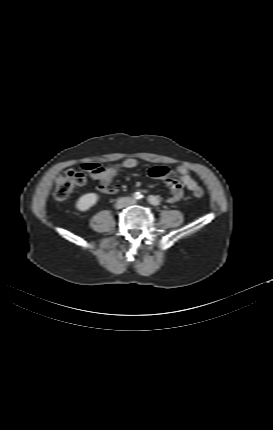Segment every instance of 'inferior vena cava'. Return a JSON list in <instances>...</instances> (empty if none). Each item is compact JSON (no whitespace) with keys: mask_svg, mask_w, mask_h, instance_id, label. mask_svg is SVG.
I'll return each mask as SVG.
<instances>
[{"mask_svg":"<svg viewBox=\"0 0 273 430\" xmlns=\"http://www.w3.org/2000/svg\"><path fill=\"white\" fill-rule=\"evenodd\" d=\"M133 203H134V200L130 199L127 204L130 205V204H133Z\"/></svg>","mask_w":273,"mask_h":430,"instance_id":"inferior-vena-cava-1","label":"inferior vena cava"}]
</instances>
